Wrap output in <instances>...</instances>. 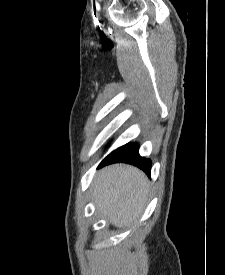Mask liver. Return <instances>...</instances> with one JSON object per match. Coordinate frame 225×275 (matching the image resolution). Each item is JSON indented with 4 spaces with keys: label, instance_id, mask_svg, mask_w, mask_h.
<instances>
[{
    "label": "liver",
    "instance_id": "6515ba94",
    "mask_svg": "<svg viewBox=\"0 0 225 275\" xmlns=\"http://www.w3.org/2000/svg\"><path fill=\"white\" fill-rule=\"evenodd\" d=\"M150 195L146 175L134 166L115 164L100 170L92 183L97 211L116 227H129L142 214Z\"/></svg>",
    "mask_w": 225,
    "mask_h": 275
}]
</instances>
